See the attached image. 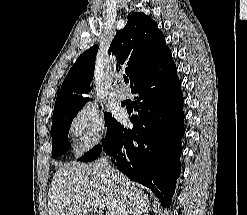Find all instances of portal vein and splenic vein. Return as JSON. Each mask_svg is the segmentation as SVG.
I'll use <instances>...</instances> for the list:
<instances>
[{
    "instance_id": "obj_1",
    "label": "portal vein and splenic vein",
    "mask_w": 247,
    "mask_h": 215,
    "mask_svg": "<svg viewBox=\"0 0 247 215\" xmlns=\"http://www.w3.org/2000/svg\"><path fill=\"white\" fill-rule=\"evenodd\" d=\"M94 206L99 208V209H104L105 208V204H104V201L102 199L94 200Z\"/></svg>"
}]
</instances>
